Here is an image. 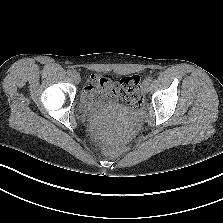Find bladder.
I'll list each match as a JSON object with an SVG mask.
<instances>
[{"label": "bladder", "instance_id": "bladder-1", "mask_svg": "<svg viewBox=\"0 0 223 223\" xmlns=\"http://www.w3.org/2000/svg\"><path fill=\"white\" fill-rule=\"evenodd\" d=\"M80 104L92 111H121L122 106L113 101L104 99L90 100L88 96L83 95L80 98Z\"/></svg>", "mask_w": 223, "mask_h": 223}]
</instances>
